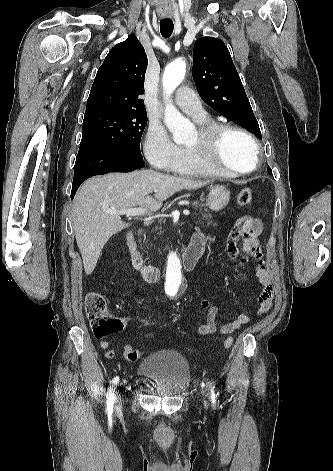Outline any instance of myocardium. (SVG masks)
I'll return each instance as SVG.
<instances>
[{"label":"myocardium","mask_w":333,"mask_h":471,"mask_svg":"<svg viewBox=\"0 0 333 471\" xmlns=\"http://www.w3.org/2000/svg\"><path fill=\"white\" fill-rule=\"evenodd\" d=\"M226 132H237L251 143L254 150V161L251 167L243 170L231 169L221 164L217 158L218 144ZM198 141L187 149L201 163L212 168L219 175L241 176L254 171L261 160V150L256 138L245 128L237 124L224 122H209L198 129Z\"/></svg>","instance_id":"f54148a6"}]
</instances>
